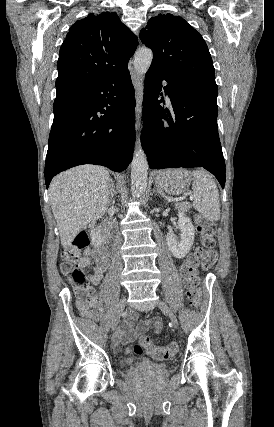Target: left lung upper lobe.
Returning <instances> with one entry per match:
<instances>
[{
	"label": "left lung upper lobe",
	"mask_w": 274,
	"mask_h": 427,
	"mask_svg": "<svg viewBox=\"0 0 274 427\" xmlns=\"http://www.w3.org/2000/svg\"><path fill=\"white\" fill-rule=\"evenodd\" d=\"M140 38L153 51L150 68L184 85L218 92L208 47L184 19L172 14L152 17L140 31Z\"/></svg>",
	"instance_id": "5c2ea615"
}]
</instances>
